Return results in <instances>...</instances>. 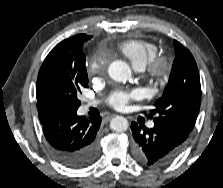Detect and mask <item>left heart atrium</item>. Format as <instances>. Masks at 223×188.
Instances as JSON below:
<instances>
[{
    "label": "left heart atrium",
    "instance_id": "39dd6f15",
    "mask_svg": "<svg viewBox=\"0 0 223 188\" xmlns=\"http://www.w3.org/2000/svg\"><path fill=\"white\" fill-rule=\"evenodd\" d=\"M141 92L134 90L132 92H117L110 98V105L116 110H124L127 108L128 103L132 100L139 99Z\"/></svg>",
    "mask_w": 223,
    "mask_h": 188
}]
</instances>
